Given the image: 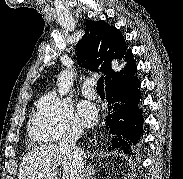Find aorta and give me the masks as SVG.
Masks as SVG:
<instances>
[{"mask_svg":"<svg viewBox=\"0 0 183 179\" xmlns=\"http://www.w3.org/2000/svg\"><path fill=\"white\" fill-rule=\"evenodd\" d=\"M73 84V72L63 70L57 80L58 92L61 96L67 95Z\"/></svg>","mask_w":183,"mask_h":179,"instance_id":"762f6f07","label":"aorta"}]
</instances>
